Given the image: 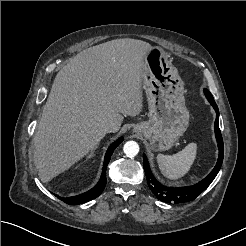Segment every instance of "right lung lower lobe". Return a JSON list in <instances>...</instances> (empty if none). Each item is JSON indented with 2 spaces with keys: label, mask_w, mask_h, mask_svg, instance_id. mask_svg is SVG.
<instances>
[{
  "label": "right lung lower lobe",
  "mask_w": 246,
  "mask_h": 246,
  "mask_svg": "<svg viewBox=\"0 0 246 246\" xmlns=\"http://www.w3.org/2000/svg\"><path fill=\"white\" fill-rule=\"evenodd\" d=\"M122 141H123V138H119L116 142H114L108 148L106 155H105V159H104L102 175H101L99 182L97 183V185L95 187H93L91 190H89L83 194L73 196V197L63 198V197H60L57 195H55V196L58 197L60 200L64 201L67 204H70V205H78V204L88 202V201L98 197L101 194V192L103 191V189L105 188V185L107 182V180H106V167L110 161L111 155H112L113 151L115 150V148Z\"/></svg>",
  "instance_id": "98d812e1"
}]
</instances>
